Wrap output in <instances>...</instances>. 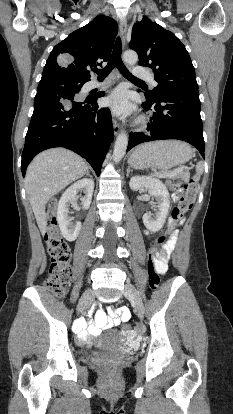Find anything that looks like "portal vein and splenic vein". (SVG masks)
<instances>
[{
  "label": "portal vein and splenic vein",
  "mask_w": 233,
  "mask_h": 414,
  "mask_svg": "<svg viewBox=\"0 0 233 414\" xmlns=\"http://www.w3.org/2000/svg\"><path fill=\"white\" fill-rule=\"evenodd\" d=\"M182 170H183V168H178V169H175L173 172L174 173H179V172H182ZM156 172V171H155ZM156 174H158L157 172H156ZM173 173H170V174H166V175H164V177H169L170 175H172Z\"/></svg>",
  "instance_id": "1"
}]
</instances>
